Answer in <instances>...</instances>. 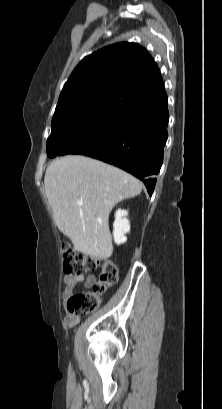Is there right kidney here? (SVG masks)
I'll return each mask as SVG.
<instances>
[{"mask_svg": "<svg viewBox=\"0 0 222 409\" xmlns=\"http://www.w3.org/2000/svg\"><path fill=\"white\" fill-rule=\"evenodd\" d=\"M128 211L118 209L115 213V221L113 224V236L116 244H123L127 241V234L130 231V223L126 218Z\"/></svg>", "mask_w": 222, "mask_h": 409, "instance_id": "right-kidney-1", "label": "right kidney"}]
</instances>
